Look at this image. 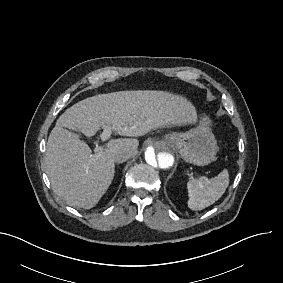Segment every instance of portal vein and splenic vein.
I'll return each instance as SVG.
<instances>
[{"label":"portal vein and splenic vein","mask_w":283,"mask_h":283,"mask_svg":"<svg viewBox=\"0 0 283 283\" xmlns=\"http://www.w3.org/2000/svg\"><path fill=\"white\" fill-rule=\"evenodd\" d=\"M110 135H111V127L106 126V127L104 128L103 132L101 133V138H102L103 140H106V139H108V138L110 137ZM94 151H95V152H98L97 149H94Z\"/></svg>","instance_id":"portal-vein-and-splenic-vein-1"}]
</instances>
